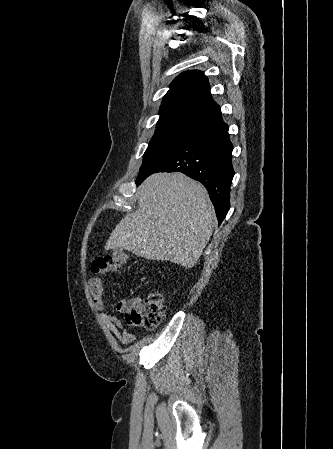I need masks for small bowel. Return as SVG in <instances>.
Wrapping results in <instances>:
<instances>
[{"mask_svg":"<svg viewBox=\"0 0 333 449\" xmlns=\"http://www.w3.org/2000/svg\"><path fill=\"white\" fill-rule=\"evenodd\" d=\"M89 288L94 299L95 306L100 311V318L108 327L113 336L122 344H129L135 340V335L123 328L121 322L106 310L103 300V280L100 276H94L89 280ZM138 298L130 300L121 299L116 304L118 312H125Z\"/></svg>","mask_w":333,"mask_h":449,"instance_id":"1","label":"small bowel"}]
</instances>
